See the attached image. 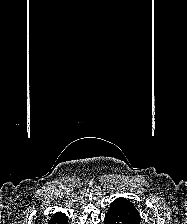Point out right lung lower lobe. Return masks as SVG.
I'll list each match as a JSON object with an SVG mask.
<instances>
[{
	"label": "right lung lower lobe",
	"mask_w": 187,
	"mask_h": 224,
	"mask_svg": "<svg viewBox=\"0 0 187 224\" xmlns=\"http://www.w3.org/2000/svg\"><path fill=\"white\" fill-rule=\"evenodd\" d=\"M48 224H67V217L64 214L54 215Z\"/></svg>",
	"instance_id": "obj_1"
}]
</instances>
